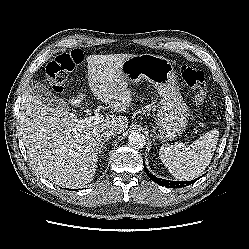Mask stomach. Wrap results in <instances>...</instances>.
<instances>
[{
	"instance_id": "1",
	"label": "stomach",
	"mask_w": 249,
	"mask_h": 249,
	"mask_svg": "<svg viewBox=\"0 0 249 249\" xmlns=\"http://www.w3.org/2000/svg\"><path fill=\"white\" fill-rule=\"evenodd\" d=\"M119 70L129 84L146 79L159 93L161 102L155 117L157 138L168 141L180 136L187 126L189 109L180 93L170 60L153 54L133 55L123 61Z\"/></svg>"
}]
</instances>
